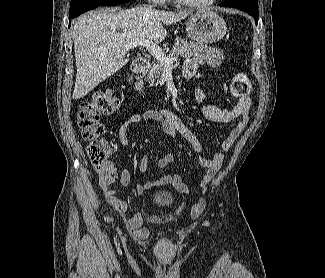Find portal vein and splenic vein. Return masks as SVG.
Masks as SVG:
<instances>
[{"instance_id":"1","label":"portal vein and splenic vein","mask_w":325,"mask_h":278,"mask_svg":"<svg viewBox=\"0 0 325 278\" xmlns=\"http://www.w3.org/2000/svg\"><path fill=\"white\" fill-rule=\"evenodd\" d=\"M137 46L145 47L154 58L164 65L165 68H171L173 62L177 60V57H166V54L156 43L147 39H133L127 43L126 48L130 49Z\"/></svg>"}]
</instances>
